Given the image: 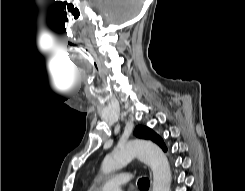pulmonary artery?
Returning <instances> with one entry per match:
<instances>
[{
	"label": "pulmonary artery",
	"mask_w": 245,
	"mask_h": 191,
	"mask_svg": "<svg viewBox=\"0 0 245 191\" xmlns=\"http://www.w3.org/2000/svg\"><path fill=\"white\" fill-rule=\"evenodd\" d=\"M130 177L127 173H118L110 177L100 188V191H122V186L127 184Z\"/></svg>",
	"instance_id": "1"
}]
</instances>
